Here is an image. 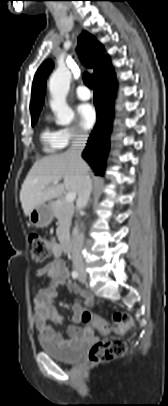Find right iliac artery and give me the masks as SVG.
I'll use <instances>...</instances> for the list:
<instances>
[{"instance_id": "1", "label": "right iliac artery", "mask_w": 168, "mask_h": 406, "mask_svg": "<svg viewBox=\"0 0 168 406\" xmlns=\"http://www.w3.org/2000/svg\"><path fill=\"white\" fill-rule=\"evenodd\" d=\"M72 277L74 278V279H76V278H78V272L77 271H72Z\"/></svg>"}]
</instances>
